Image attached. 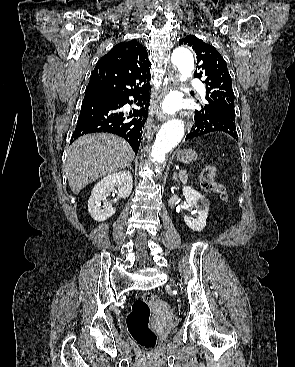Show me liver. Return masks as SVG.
I'll list each match as a JSON object with an SVG mask.
<instances>
[{
  "instance_id": "1",
  "label": "liver",
  "mask_w": 295,
  "mask_h": 367,
  "mask_svg": "<svg viewBox=\"0 0 295 367\" xmlns=\"http://www.w3.org/2000/svg\"><path fill=\"white\" fill-rule=\"evenodd\" d=\"M133 158L130 145L118 136H82L68 150L65 170L69 186L78 194L89 183L128 167Z\"/></svg>"
}]
</instances>
